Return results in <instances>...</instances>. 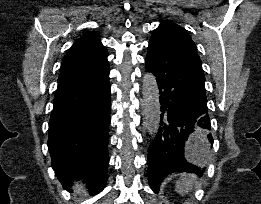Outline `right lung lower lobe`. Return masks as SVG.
I'll return each mask as SVG.
<instances>
[{"label": "right lung lower lobe", "instance_id": "98d812e1", "mask_svg": "<svg viewBox=\"0 0 261 204\" xmlns=\"http://www.w3.org/2000/svg\"><path fill=\"white\" fill-rule=\"evenodd\" d=\"M109 63L61 75L49 121L48 147L64 188L83 179L93 194L107 181Z\"/></svg>", "mask_w": 261, "mask_h": 204}]
</instances>
